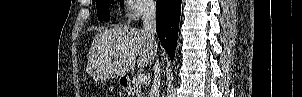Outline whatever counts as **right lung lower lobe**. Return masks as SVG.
Segmentation results:
<instances>
[{"mask_svg":"<svg viewBox=\"0 0 302 97\" xmlns=\"http://www.w3.org/2000/svg\"><path fill=\"white\" fill-rule=\"evenodd\" d=\"M182 0H157L156 28L161 44L174 59Z\"/></svg>","mask_w":302,"mask_h":97,"instance_id":"98d812e1","label":"right lung lower lobe"}]
</instances>
